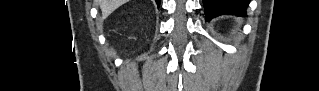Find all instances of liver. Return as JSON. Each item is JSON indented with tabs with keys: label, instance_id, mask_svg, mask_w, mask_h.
<instances>
[{
	"label": "liver",
	"instance_id": "6515ba94",
	"mask_svg": "<svg viewBox=\"0 0 319 91\" xmlns=\"http://www.w3.org/2000/svg\"><path fill=\"white\" fill-rule=\"evenodd\" d=\"M127 2L128 0H98V4L100 5V9L102 11V17H108L117 8Z\"/></svg>",
	"mask_w": 319,
	"mask_h": 91
}]
</instances>
